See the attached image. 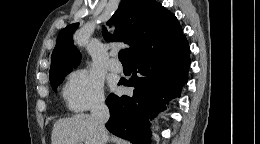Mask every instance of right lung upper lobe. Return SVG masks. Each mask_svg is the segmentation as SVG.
I'll return each mask as SVG.
<instances>
[{"label": "right lung upper lobe", "instance_id": "cb5924a9", "mask_svg": "<svg viewBox=\"0 0 260 144\" xmlns=\"http://www.w3.org/2000/svg\"><path fill=\"white\" fill-rule=\"evenodd\" d=\"M109 23H114L116 30L114 35H109L103 27L105 39L124 41L130 45V48H126L129 59L135 54L169 43L183 34L175 15L155 0H122ZM78 26L79 23L70 24L59 32L51 56L49 75L78 65L81 54L72 38Z\"/></svg>", "mask_w": 260, "mask_h": 144}]
</instances>
